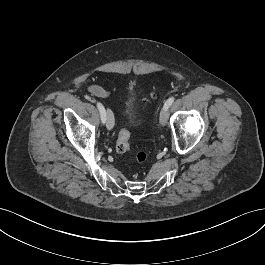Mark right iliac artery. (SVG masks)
Wrapping results in <instances>:
<instances>
[{
    "label": "right iliac artery",
    "instance_id": "right-iliac-artery-1",
    "mask_svg": "<svg viewBox=\"0 0 265 265\" xmlns=\"http://www.w3.org/2000/svg\"><path fill=\"white\" fill-rule=\"evenodd\" d=\"M97 107H98V110L100 112L101 121H102V123H105V121H106L105 108H104V106L100 102L97 103Z\"/></svg>",
    "mask_w": 265,
    "mask_h": 265
}]
</instances>
